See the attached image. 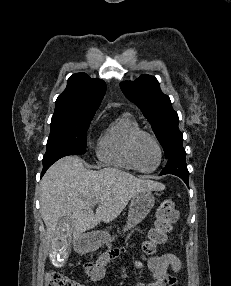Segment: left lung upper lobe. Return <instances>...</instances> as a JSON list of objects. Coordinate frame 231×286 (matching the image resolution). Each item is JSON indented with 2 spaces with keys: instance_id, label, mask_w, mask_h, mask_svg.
<instances>
[{
  "instance_id": "1",
  "label": "left lung upper lobe",
  "mask_w": 231,
  "mask_h": 286,
  "mask_svg": "<svg viewBox=\"0 0 231 286\" xmlns=\"http://www.w3.org/2000/svg\"><path fill=\"white\" fill-rule=\"evenodd\" d=\"M120 87L150 122L164 149L166 159L183 148V135L178 129V115L173 110L169 97L160 90L155 77L141 75L134 82L121 83Z\"/></svg>"
}]
</instances>
